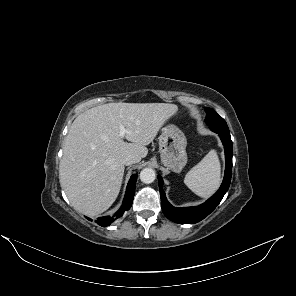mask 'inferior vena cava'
I'll return each mask as SVG.
<instances>
[{
  "label": "inferior vena cava",
  "instance_id": "602c4592",
  "mask_svg": "<svg viewBox=\"0 0 296 296\" xmlns=\"http://www.w3.org/2000/svg\"><path fill=\"white\" fill-rule=\"evenodd\" d=\"M141 160L140 156L137 154H128L123 158V163L125 165H132L138 163Z\"/></svg>",
  "mask_w": 296,
  "mask_h": 296
}]
</instances>
